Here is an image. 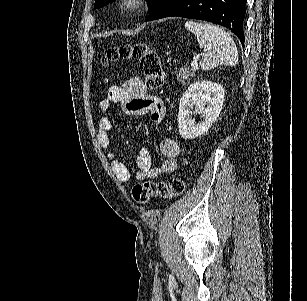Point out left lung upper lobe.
Here are the masks:
<instances>
[{
	"label": "left lung upper lobe",
	"instance_id": "obj_1",
	"mask_svg": "<svg viewBox=\"0 0 307 301\" xmlns=\"http://www.w3.org/2000/svg\"><path fill=\"white\" fill-rule=\"evenodd\" d=\"M114 0H96L95 8L103 7L104 5ZM177 0H148L150 7V15L148 21L156 20L169 6L175 3Z\"/></svg>",
	"mask_w": 307,
	"mask_h": 301
}]
</instances>
